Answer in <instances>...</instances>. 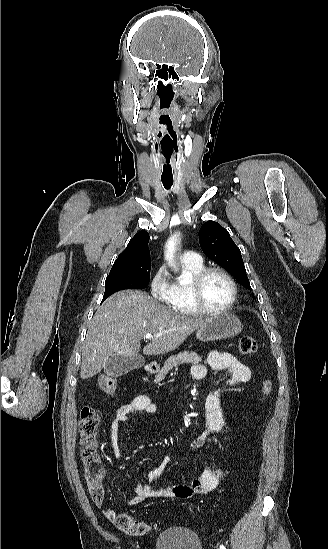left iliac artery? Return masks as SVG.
<instances>
[{
  "label": "left iliac artery",
  "instance_id": "44dca946",
  "mask_svg": "<svg viewBox=\"0 0 328 549\" xmlns=\"http://www.w3.org/2000/svg\"><path fill=\"white\" fill-rule=\"evenodd\" d=\"M220 549H226L223 545H220Z\"/></svg>",
  "mask_w": 328,
  "mask_h": 549
}]
</instances>
